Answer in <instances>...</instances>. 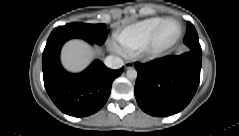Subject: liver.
I'll use <instances>...</instances> for the list:
<instances>
[{
    "mask_svg": "<svg viewBox=\"0 0 239 136\" xmlns=\"http://www.w3.org/2000/svg\"><path fill=\"white\" fill-rule=\"evenodd\" d=\"M101 55L99 46H92L82 39H71L62 48L61 62L67 70L80 72Z\"/></svg>",
    "mask_w": 239,
    "mask_h": 136,
    "instance_id": "obj_1",
    "label": "liver"
}]
</instances>
